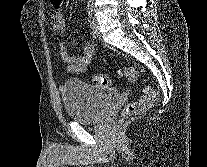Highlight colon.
Wrapping results in <instances>:
<instances>
[{"label":"colon","mask_w":207,"mask_h":167,"mask_svg":"<svg viewBox=\"0 0 207 167\" xmlns=\"http://www.w3.org/2000/svg\"><path fill=\"white\" fill-rule=\"evenodd\" d=\"M120 74L127 78L131 83L137 81V73L132 67L124 68L120 71ZM93 83L100 87H108L111 85L112 80L105 74H97L93 76ZM158 99V92L146 86L142 91V96L139 100L128 103L123 111L122 117L126 118L132 115H138L146 111L151 105H153Z\"/></svg>","instance_id":"5ec220e1"}]
</instances>
